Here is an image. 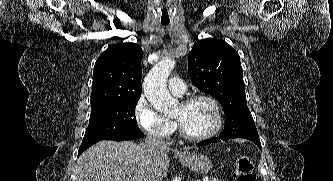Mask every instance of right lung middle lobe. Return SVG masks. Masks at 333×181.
I'll list each match as a JSON object with an SVG mask.
<instances>
[{"mask_svg": "<svg viewBox=\"0 0 333 181\" xmlns=\"http://www.w3.org/2000/svg\"><path fill=\"white\" fill-rule=\"evenodd\" d=\"M138 99L93 107L81 146L100 140H132L144 136L135 118Z\"/></svg>", "mask_w": 333, "mask_h": 181, "instance_id": "obj_1", "label": "right lung middle lobe"}]
</instances>
